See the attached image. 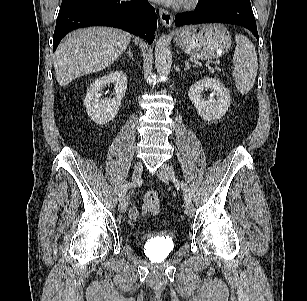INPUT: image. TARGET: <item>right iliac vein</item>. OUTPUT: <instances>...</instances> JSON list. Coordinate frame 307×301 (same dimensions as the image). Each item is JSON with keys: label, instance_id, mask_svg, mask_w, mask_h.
Returning <instances> with one entry per match:
<instances>
[{"label": "right iliac vein", "instance_id": "1", "mask_svg": "<svg viewBox=\"0 0 307 301\" xmlns=\"http://www.w3.org/2000/svg\"><path fill=\"white\" fill-rule=\"evenodd\" d=\"M143 171V165L141 162H137L134 166L133 174H132V182L137 183L141 176ZM128 207V198L125 197L122 201H120L119 204V211L121 213H124L127 210Z\"/></svg>", "mask_w": 307, "mask_h": 301}]
</instances>
